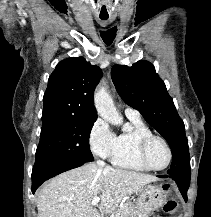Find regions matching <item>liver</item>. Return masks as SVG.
Listing matches in <instances>:
<instances>
[{"label": "liver", "mask_w": 211, "mask_h": 217, "mask_svg": "<svg viewBox=\"0 0 211 217\" xmlns=\"http://www.w3.org/2000/svg\"><path fill=\"white\" fill-rule=\"evenodd\" d=\"M155 176L110 166L86 164L53 178L38 193V217H101L92 200L100 198L105 214L127 195L155 182Z\"/></svg>", "instance_id": "6515ba94"}]
</instances>
